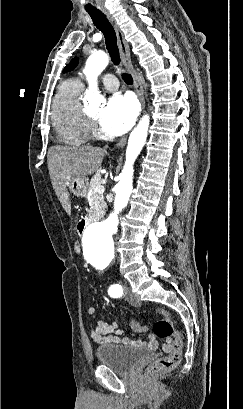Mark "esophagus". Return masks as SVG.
<instances>
[{
	"instance_id": "obj_1",
	"label": "esophagus",
	"mask_w": 243,
	"mask_h": 409,
	"mask_svg": "<svg viewBox=\"0 0 243 409\" xmlns=\"http://www.w3.org/2000/svg\"><path fill=\"white\" fill-rule=\"evenodd\" d=\"M102 12L105 14V16L107 17V19L109 20V22L111 23V25L113 26V28L115 30L116 37H117V43H118L120 55H121V58H122V62L124 64V66L126 67L127 71L133 77L135 91H136V94H137L138 99H139L140 104H141V110H143L144 107H145L144 91H143V87L141 85L140 79H139V77H138V75H137V73L134 70V67L132 65L128 43L126 42L121 29L119 28L118 24L116 23L113 16L109 13V11L106 10V9H103ZM126 140H127L126 137L121 138L117 142V145H116L117 148H123L125 146V144H126Z\"/></svg>"
}]
</instances>
